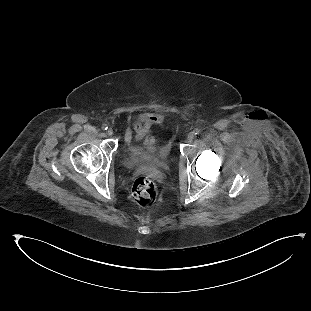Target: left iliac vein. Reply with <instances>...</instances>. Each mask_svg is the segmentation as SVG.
<instances>
[{"label": "left iliac vein", "mask_w": 311, "mask_h": 311, "mask_svg": "<svg viewBox=\"0 0 311 311\" xmlns=\"http://www.w3.org/2000/svg\"><path fill=\"white\" fill-rule=\"evenodd\" d=\"M187 139L189 141H192L194 139V133L193 132H190L188 135H187Z\"/></svg>", "instance_id": "4c4485c4"}]
</instances>
